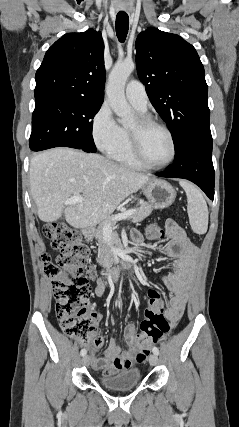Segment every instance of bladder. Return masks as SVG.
Segmentation results:
<instances>
[{"label": "bladder", "instance_id": "1", "mask_svg": "<svg viewBox=\"0 0 239 427\" xmlns=\"http://www.w3.org/2000/svg\"><path fill=\"white\" fill-rule=\"evenodd\" d=\"M141 374L137 368H129L113 375L100 377L101 384L111 390H127L140 382Z\"/></svg>", "mask_w": 239, "mask_h": 427}]
</instances>
